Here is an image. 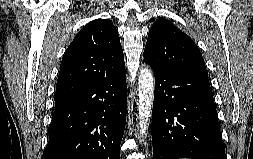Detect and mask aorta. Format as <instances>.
I'll return each mask as SVG.
<instances>
[{
	"label": "aorta",
	"mask_w": 253,
	"mask_h": 159,
	"mask_svg": "<svg viewBox=\"0 0 253 159\" xmlns=\"http://www.w3.org/2000/svg\"><path fill=\"white\" fill-rule=\"evenodd\" d=\"M154 89L155 80L151 68H142L138 78V128L141 137L146 136L147 133V125L152 114Z\"/></svg>",
	"instance_id": "762f6f07"
}]
</instances>
